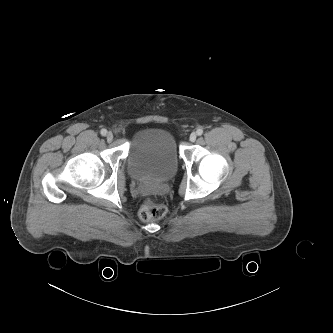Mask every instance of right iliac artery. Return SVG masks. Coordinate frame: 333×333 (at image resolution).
<instances>
[{"mask_svg": "<svg viewBox=\"0 0 333 333\" xmlns=\"http://www.w3.org/2000/svg\"><path fill=\"white\" fill-rule=\"evenodd\" d=\"M100 133H101L102 136H105L107 134V130L106 129H102L100 131Z\"/></svg>", "mask_w": 333, "mask_h": 333, "instance_id": "82829eb1", "label": "right iliac artery"}]
</instances>
